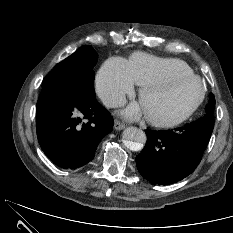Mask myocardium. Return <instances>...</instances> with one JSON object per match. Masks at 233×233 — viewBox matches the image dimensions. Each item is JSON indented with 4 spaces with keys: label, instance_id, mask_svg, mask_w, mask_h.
Returning <instances> with one entry per match:
<instances>
[{
    "label": "myocardium",
    "instance_id": "f54148a6",
    "mask_svg": "<svg viewBox=\"0 0 233 233\" xmlns=\"http://www.w3.org/2000/svg\"><path fill=\"white\" fill-rule=\"evenodd\" d=\"M187 79L196 80L200 84V87H201L200 96L198 100L195 102V104L185 114L175 119H168V120L157 119V118H154L146 114V119L148 120L149 123L159 128H173V127H176V126H179L185 123L198 111V109L203 104L206 98V87L202 79L195 73L163 76V77L148 81L140 86L138 97H139V100L141 101L144 93L148 90L158 89V88L170 85L172 83L179 82L182 80H187Z\"/></svg>",
    "mask_w": 233,
    "mask_h": 233
}]
</instances>
